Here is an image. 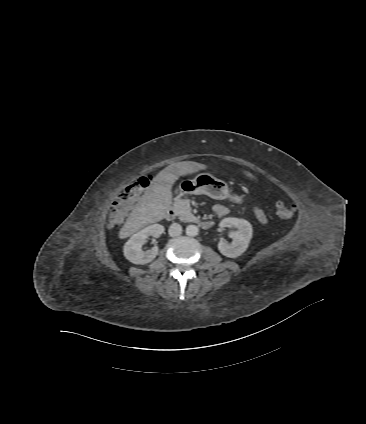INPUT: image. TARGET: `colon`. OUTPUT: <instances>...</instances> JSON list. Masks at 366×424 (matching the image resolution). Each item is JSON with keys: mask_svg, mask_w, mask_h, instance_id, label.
Returning <instances> with one entry per match:
<instances>
[{"mask_svg": "<svg viewBox=\"0 0 366 424\" xmlns=\"http://www.w3.org/2000/svg\"><path fill=\"white\" fill-rule=\"evenodd\" d=\"M151 181L152 176H142L125 188L123 193H121L113 203L108 215L107 224L109 227H115L123 221V218L130 209L131 205L136 201ZM295 211L296 208L294 205H286L281 201H278L275 205L276 215L284 220L292 218Z\"/></svg>", "mask_w": 366, "mask_h": 424, "instance_id": "obj_1", "label": "colon"}]
</instances>
